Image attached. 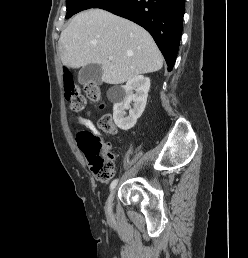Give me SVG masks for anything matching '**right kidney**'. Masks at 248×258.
Returning <instances> with one entry per match:
<instances>
[{"instance_id": "1", "label": "right kidney", "mask_w": 248, "mask_h": 258, "mask_svg": "<svg viewBox=\"0 0 248 258\" xmlns=\"http://www.w3.org/2000/svg\"><path fill=\"white\" fill-rule=\"evenodd\" d=\"M149 89L150 79L140 75L127 81L126 85L108 91V98L114 102L113 119L120 129L129 130L136 124L145 109ZM132 101L133 108L130 106ZM125 110H129L126 117Z\"/></svg>"}]
</instances>
